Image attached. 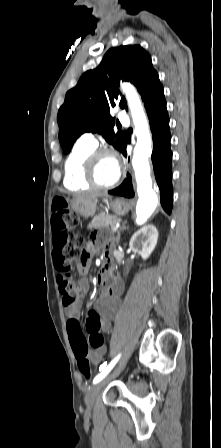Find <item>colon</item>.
<instances>
[{
	"mask_svg": "<svg viewBox=\"0 0 221 448\" xmlns=\"http://www.w3.org/2000/svg\"><path fill=\"white\" fill-rule=\"evenodd\" d=\"M54 208L62 212V217L52 220L55 231L53 259L55 267L61 273L59 288L62 303L64 307L72 308L83 295L84 287L72 278L71 264L80 262L82 265H86L90 258V247L88 241L84 240L76 231L79 219L75 213L68 211L67 200L56 199ZM85 331L88 334V341L79 336L82 332L80 323L75 319L69 320L68 332L75 350L78 371L84 378L89 379L92 371L88 360V345L92 348H100L104 345V337L100 333V318L95 310H89L86 314Z\"/></svg>",
	"mask_w": 221,
	"mask_h": 448,
	"instance_id": "5ec220e1",
	"label": "colon"
}]
</instances>
